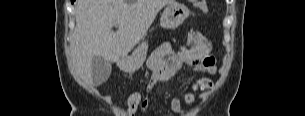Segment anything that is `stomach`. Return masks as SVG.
<instances>
[{
	"label": "stomach",
	"instance_id": "0dacf381",
	"mask_svg": "<svg viewBox=\"0 0 305 116\" xmlns=\"http://www.w3.org/2000/svg\"><path fill=\"white\" fill-rule=\"evenodd\" d=\"M188 8L181 3L168 5L160 18V25L165 29H175L189 16ZM148 52V42H141L133 53L119 60V68L126 73L137 71L145 62Z\"/></svg>",
	"mask_w": 305,
	"mask_h": 116
}]
</instances>
